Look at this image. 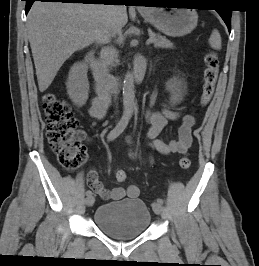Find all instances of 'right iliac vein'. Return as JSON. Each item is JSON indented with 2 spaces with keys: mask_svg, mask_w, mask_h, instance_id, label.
Returning a JSON list of instances; mask_svg holds the SVG:
<instances>
[{
  "mask_svg": "<svg viewBox=\"0 0 259 266\" xmlns=\"http://www.w3.org/2000/svg\"><path fill=\"white\" fill-rule=\"evenodd\" d=\"M94 201H95L94 197H93V196H89V197L86 198V200H85V204H86L87 206H92L93 203H94Z\"/></svg>",
  "mask_w": 259,
  "mask_h": 266,
  "instance_id": "63e3f726",
  "label": "right iliac vein"
}]
</instances>
